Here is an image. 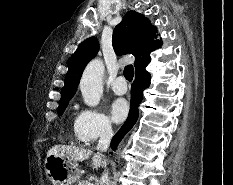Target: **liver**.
Segmentation results:
<instances>
[{
    "label": "liver",
    "instance_id": "obj_1",
    "mask_svg": "<svg viewBox=\"0 0 233 185\" xmlns=\"http://www.w3.org/2000/svg\"><path fill=\"white\" fill-rule=\"evenodd\" d=\"M58 155L61 157H65L68 160L74 162L77 164L79 161L87 160L91 155L92 157V163L91 167L93 169L98 170L100 166H105V160H103V157L100 153L93 154L92 150L85 149V148H79L76 146H69V145H54L48 152L47 155Z\"/></svg>",
    "mask_w": 233,
    "mask_h": 185
}]
</instances>
